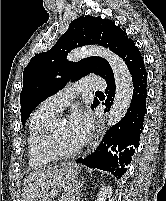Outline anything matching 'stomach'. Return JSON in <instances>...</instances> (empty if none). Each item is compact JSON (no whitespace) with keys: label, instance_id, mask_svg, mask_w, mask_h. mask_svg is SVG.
Masks as SVG:
<instances>
[{"label":"stomach","instance_id":"1","mask_svg":"<svg viewBox=\"0 0 166 201\" xmlns=\"http://www.w3.org/2000/svg\"><path fill=\"white\" fill-rule=\"evenodd\" d=\"M78 167L64 165L50 176L37 191L34 201H52L65 186H70L78 175Z\"/></svg>","mask_w":166,"mask_h":201}]
</instances>
